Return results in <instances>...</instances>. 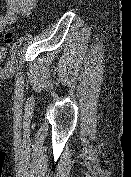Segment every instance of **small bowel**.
<instances>
[{"mask_svg": "<svg viewBox=\"0 0 131 177\" xmlns=\"http://www.w3.org/2000/svg\"><path fill=\"white\" fill-rule=\"evenodd\" d=\"M6 8L0 12V33L14 24L19 16H28L37 6V0H4Z\"/></svg>", "mask_w": 131, "mask_h": 177, "instance_id": "c3829d8e", "label": "small bowel"}]
</instances>
